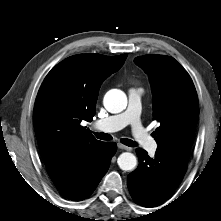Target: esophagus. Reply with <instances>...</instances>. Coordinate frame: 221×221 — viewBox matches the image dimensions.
<instances>
[{
	"instance_id": "esophagus-1",
	"label": "esophagus",
	"mask_w": 221,
	"mask_h": 221,
	"mask_svg": "<svg viewBox=\"0 0 221 221\" xmlns=\"http://www.w3.org/2000/svg\"><path fill=\"white\" fill-rule=\"evenodd\" d=\"M117 146H118L119 149H122V150H126V151H131L132 150V148H130L128 146H125V145H123L121 143H118Z\"/></svg>"
}]
</instances>
